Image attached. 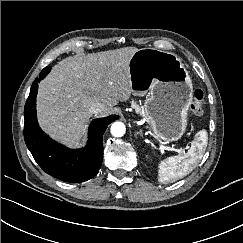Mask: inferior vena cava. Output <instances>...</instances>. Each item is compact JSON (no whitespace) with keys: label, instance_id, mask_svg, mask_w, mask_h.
Wrapping results in <instances>:
<instances>
[{"label":"inferior vena cava","instance_id":"obj_1","mask_svg":"<svg viewBox=\"0 0 243 243\" xmlns=\"http://www.w3.org/2000/svg\"><path fill=\"white\" fill-rule=\"evenodd\" d=\"M89 111L92 114H100L105 108V105L97 100H91L88 102Z\"/></svg>","mask_w":243,"mask_h":243}]
</instances>
